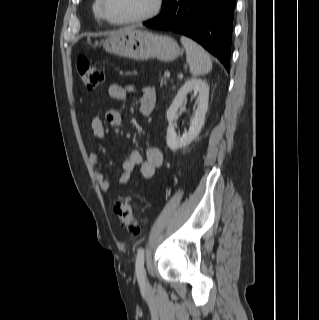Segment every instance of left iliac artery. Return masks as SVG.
Returning a JSON list of instances; mask_svg holds the SVG:
<instances>
[{
	"label": "left iliac artery",
	"instance_id": "left-iliac-artery-1",
	"mask_svg": "<svg viewBox=\"0 0 319 320\" xmlns=\"http://www.w3.org/2000/svg\"><path fill=\"white\" fill-rule=\"evenodd\" d=\"M135 267H136V276H137L138 282L140 285H144L145 284L144 248H139L137 251Z\"/></svg>",
	"mask_w": 319,
	"mask_h": 320
}]
</instances>
